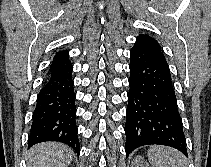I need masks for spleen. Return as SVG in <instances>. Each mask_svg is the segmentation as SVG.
<instances>
[{"instance_id": "1", "label": "spleen", "mask_w": 211, "mask_h": 167, "mask_svg": "<svg viewBox=\"0 0 211 167\" xmlns=\"http://www.w3.org/2000/svg\"><path fill=\"white\" fill-rule=\"evenodd\" d=\"M147 155L151 167H187L184 154L173 148L150 146Z\"/></svg>"}]
</instances>
